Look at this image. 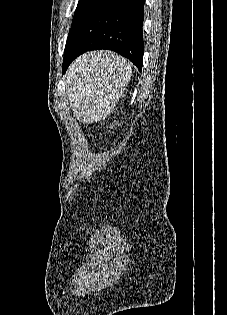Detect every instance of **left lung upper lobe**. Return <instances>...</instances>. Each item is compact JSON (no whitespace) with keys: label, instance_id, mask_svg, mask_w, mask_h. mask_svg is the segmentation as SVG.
Instances as JSON below:
<instances>
[{"label":"left lung upper lobe","instance_id":"5c2ea615","mask_svg":"<svg viewBox=\"0 0 227 315\" xmlns=\"http://www.w3.org/2000/svg\"><path fill=\"white\" fill-rule=\"evenodd\" d=\"M97 1L98 0H79L75 14H74L72 26H71V29L69 31V35L71 34L72 30L74 29L76 23L80 19H82L90 11V9L95 5V3Z\"/></svg>","mask_w":227,"mask_h":315}]
</instances>
